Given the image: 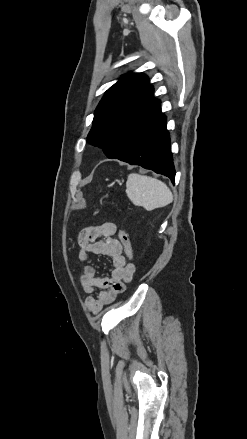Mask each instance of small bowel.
Returning <instances> with one entry per match:
<instances>
[{"label": "small bowel", "instance_id": "c3829d8e", "mask_svg": "<svg viewBox=\"0 0 247 439\" xmlns=\"http://www.w3.org/2000/svg\"><path fill=\"white\" fill-rule=\"evenodd\" d=\"M115 230L116 225L108 222L100 226L86 227L78 236V257L81 261L87 262L92 254H96L109 257L113 265L111 278L98 277L93 266L84 267L80 277L83 290L88 294L101 290L96 297L86 298V306L93 313L112 303L117 295L126 289L135 271V266L128 263L123 254L122 244L114 238Z\"/></svg>", "mask_w": 247, "mask_h": 439}]
</instances>
